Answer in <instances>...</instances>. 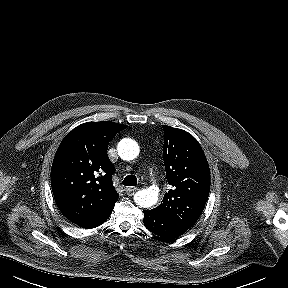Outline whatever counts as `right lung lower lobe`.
Wrapping results in <instances>:
<instances>
[{
    "instance_id": "98d812e1",
    "label": "right lung lower lobe",
    "mask_w": 288,
    "mask_h": 288,
    "mask_svg": "<svg viewBox=\"0 0 288 288\" xmlns=\"http://www.w3.org/2000/svg\"><path fill=\"white\" fill-rule=\"evenodd\" d=\"M112 210H113V207L110 210H108L107 212H105L102 216L95 218V219H91V220L82 222V223L77 224V225L81 226L82 228H86V229L98 227L99 225H101L103 222H105L109 218Z\"/></svg>"
}]
</instances>
